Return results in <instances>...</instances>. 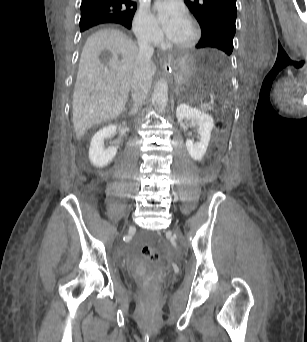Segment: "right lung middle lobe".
Segmentation results:
<instances>
[{"label":"right lung middle lobe","mask_w":307,"mask_h":342,"mask_svg":"<svg viewBox=\"0 0 307 342\" xmlns=\"http://www.w3.org/2000/svg\"><path fill=\"white\" fill-rule=\"evenodd\" d=\"M119 16L118 13L111 10H81L80 31L98 24L115 21Z\"/></svg>","instance_id":"dd1d6c3e"}]
</instances>
